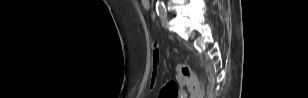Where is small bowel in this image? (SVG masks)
<instances>
[{
    "label": "small bowel",
    "mask_w": 308,
    "mask_h": 98,
    "mask_svg": "<svg viewBox=\"0 0 308 98\" xmlns=\"http://www.w3.org/2000/svg\"><path fill=\"white\" fill-rule=\"evenodd\" d=\"M141 3H142V6H143V8H144L145 10H149V8H150V3H149L148 0H142Z\"/></svg>",
    "instance_id": "small-bowel-1"
}]
</instances>
